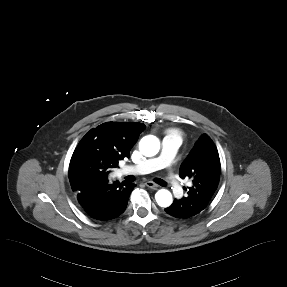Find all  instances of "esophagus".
<instances>
[{"instance_id":"34e87169","label":"esophagus","mask_w":287,"mask_h":287,"mask_svg":"<svg viewBox=\"0 0 287 287\" xmlns=\"http://www.w3.org/2000/svg\"><path fill=\"white\" fill-rule=\"evenodd\" d=\"M145 185L149 188H152V189H157L158 188V185H156L154 182L152 181H147L145 182Z\"/></svg>"}]
</instances>
